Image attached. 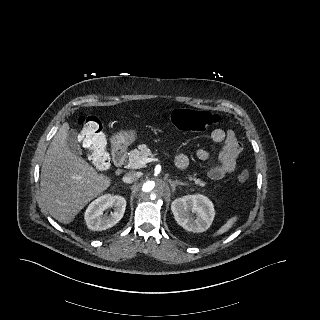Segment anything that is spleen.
Here are the masks:
<instances>
[{"label": "spleen", "mask_w": 320, "mask_h": 320, "mask_svg": "<svg viewBox=\"0 0 320 320\" xmlns=\"http://www.w3.org/2000/svg\"><path fill=\"white\" fill-rule=\"evenodd\" d=\"M236 221H237V216H233V217L229 218V219L227 220V222H226L224 225H222V226L219 228V230H217V231L214 233L213 237H216V236H218V235H221V234L226 233L228 230H230V229L232 228V226L236 223Z\"/></svg>", "instance_id": "3e777b00"}]
</instances>
